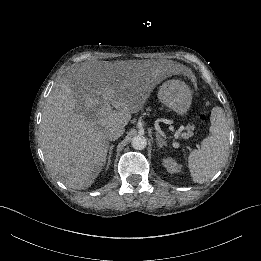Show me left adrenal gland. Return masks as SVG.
<instances>
[{"label":"left adrenal gland","mask_w":261,"mask_h":261,"mask_svg":"<svg viewBox=\"0 0 261 261\" xmlns=\"http://www.w3.org/2000/svg\"><path fill=\"white\" fill-rule=\"evenodd\" d=\"M156 138V143L159 149H161L163 146L167 147V143L158 134H156Z\"/></svg>","instance_id":"obj_1"}]
</instances>
